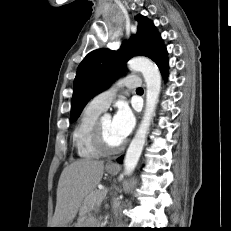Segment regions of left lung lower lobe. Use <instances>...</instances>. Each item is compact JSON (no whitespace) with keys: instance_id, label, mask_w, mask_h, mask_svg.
Segmentation results:
<instances>
[{"instance_id":"0a47b994","label":"left lung lower lobe","mask_w":231,"mask_h":231,"mask_svg":"<svg viewBox=\"0 0 231 231\" xmlns=\"http://www.w3.org/2000/svg\"><path fill=\"white\" fill-rule=\"evenodd\" d=\"M152 60L157 64L163 77L165 78L166 75L168 74V58H167V50L164 44L159 48V50L152 58ZM117 161L121 163L122 157L118 158Z\"/></svg>"}]
</instances>
